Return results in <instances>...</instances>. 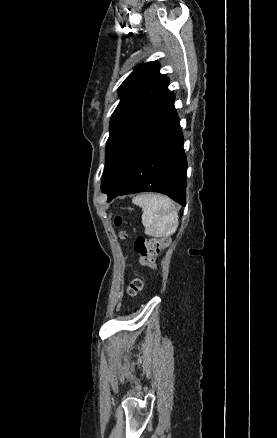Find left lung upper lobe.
Instances as JSON below:
<instances>
[{"instance_id":"1","label":"left lung upper lobe","mask_w":277,"mask_h":438,"mask_svg":"<svg viewBox=\"0 0 277 438\" xmlns=\"http://www.w3.org/2000/svg\"><path fill=\"white\" fill-rule=\"evenodd\" d=\"M168 82L159 73V64L152 61L138 66L119 87L121 100L111 117L106 143V168L101 184L103 192L115 182L123 166L136 118L145 100L152 94L166 99L173 106L174 94L168 90Z\"/></svg>"}]
</instances>
